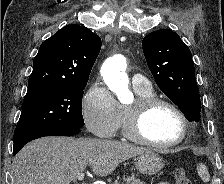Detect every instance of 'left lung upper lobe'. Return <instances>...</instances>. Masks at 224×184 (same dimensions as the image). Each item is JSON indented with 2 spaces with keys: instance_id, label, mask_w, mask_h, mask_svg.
I'll return each mask as SVG.
<instances>
[{
  "instance_id": "obj_1",
  "label": "left lung upper lobe",
  "mask_w": 224,
  "mask_h": 184,
  "mask_svg": "<svg viewBox=\"0 0 224 184\" xmlns=\"http://www.w3.org/2000/svg\"><path fill=\"white\" fill-rule=\"evenodd\" d=\"M143 52L159 88L190 122L200 120L201 104L189 48L170 29L144 37Z\"/></svg>"
}]
</instances>
